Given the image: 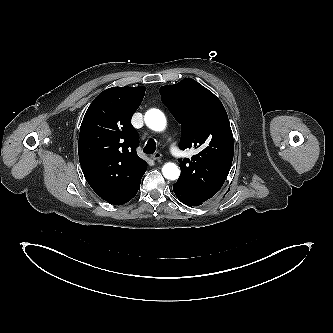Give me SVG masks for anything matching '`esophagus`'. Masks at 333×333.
Masks as SVG:
<instances>
[{
	"instance_id": "obj_1",
	"label": "esophagus",
	"mask_w": 333,
	"mask_h": 333,
	"mask_svg": "<svg viewBox=\"0 0 333 333\" xmlns=\"http://www.w3.org/2000/svg\"><path fill=\"white\" fill-rule=\"evenodd\" d=\"M151 158L153 160H160L162 158V154L160 152H155L153 155H151Z\"/></svg>"
}]
</instances>
